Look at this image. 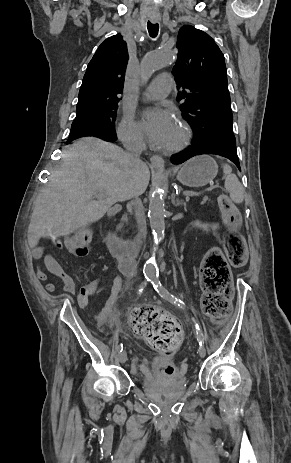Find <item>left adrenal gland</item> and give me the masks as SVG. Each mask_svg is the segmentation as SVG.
Masks as SVG:
<instances>
[{
    "label": "left adrenal gland",
    "mask_w": 291,
    "mask_h": 463,
    "mask_svg": "<svg viewBox=\"0 0 291 463\" xmlns=\"http://www.w3.org/2000/svg\"><path fill=\"white\" fill-rule=\"evenodd\" d=\"M172 203L176 207L184 204L181 200L176 199V195L174 193L172 194Z\"/></svg>",
    "instance_id": "left-adrenal-gland-1"
}]
</instances>
